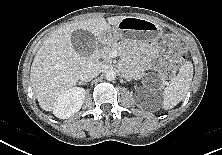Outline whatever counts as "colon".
<instances>
[{
  "instance_id": "obj_1",
  "label": "colon",
  "mask_w": 222,
  "mask_h": 155,
  "mask_svg": "<svg viewBox=\"0 0 222 155\" xmlns=\"http://www.w3.org/2000/svg\"><path fill=\"white\" fill-rule=\"evenodd\" d=\"M162 49L165 54L163 63L164 70L168 76L175 74L177 65L183 60V45L180 39L173 35H165L162 41Z\"/></svg>"
}]
</instances>
